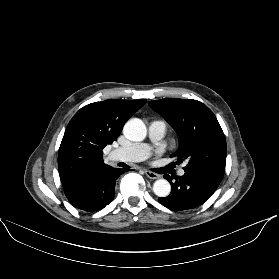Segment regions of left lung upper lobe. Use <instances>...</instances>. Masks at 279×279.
<instances>
[{"label": "left lung upper lobe", "instance_id": "5c2ea615", "mask_svg": "<svg viewBox=\"0 0 279 279\" xmlns=\"http://www.w3.org/2000/svg\"><path fill=\"white\" fill-rule=\"evenodd\" d=\"M149 106L179 134V148L172 155L187 160L185 172L204 177L219 186L225 171L227 146L214 113L193 99H162Z\"/></svg>", "mask_w": 279, "mask_h": 279}]
</instances>
